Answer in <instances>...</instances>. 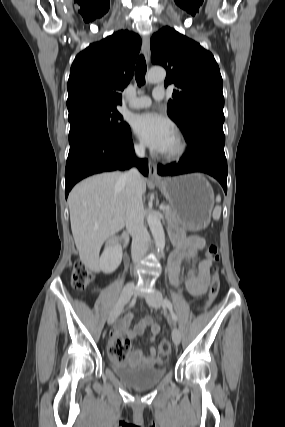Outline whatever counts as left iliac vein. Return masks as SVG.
Listing matches in <instances>:
<instances>
[{
  "instance_id": "1",
  "label": "left iliac vein",
  "mask_w": 285,
  "mask_h": 427,
  "mask_svg": "<svg viewBox=\"0 0 285 427\" xmlns=\"http://www.w3.org/2000/svg\"><path fill=\"white\" fill-rule=\"evenodd\" d=\"M146 301L148 305L154 308H160L162 306V295L157 289H154V291L147 296ZM172 339L175 345H179L181 334L176 327H174L172 331Z\"/></svg>"
}]
</instances>
